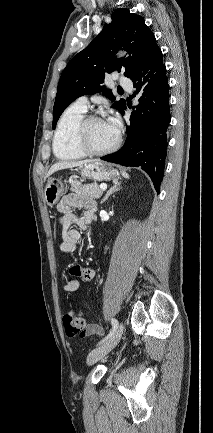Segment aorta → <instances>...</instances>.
Returning <instances> with one entry per match:
<instances>
[{"instance_id": "1", "label": "aorta", "mask_w": 213, "mask_h": 433, "mask_svg": "<svg viewBox=\"0 0 213 433\" xmlns=\"http://www.w3.org/2000/svg\"><path fill=\"white\" fill-rule=\"evenodd\" d=\"M119 55H121V56H122V55H124V53H122V52H121V53H120Z\"/></svg>"}]
</instances>
